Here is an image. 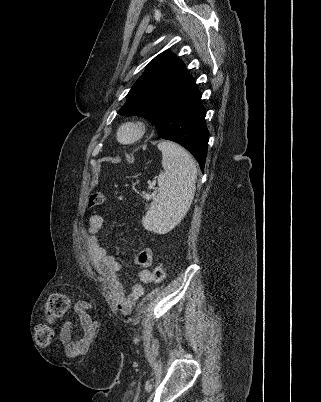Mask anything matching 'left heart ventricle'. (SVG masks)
<instances>
[{
    "instance_id": "obj_1",
    "label": "left heart ventricle",
    "mask_w": 321,
    "mask_h": 402,
    "mask_svg": "<svg viewBox=\"0 0 321 402\" xmlns=\"http://www.w3.org/2000/svg\"><path fill=\"white\" fill-rule=\"evenodd\" d=\"M131 136H132V132L129 131V130H127V131H125V132L123 133V138H124V139H128V138H130Z\"/></svg>"
}]
</instances>
